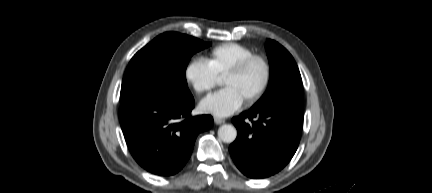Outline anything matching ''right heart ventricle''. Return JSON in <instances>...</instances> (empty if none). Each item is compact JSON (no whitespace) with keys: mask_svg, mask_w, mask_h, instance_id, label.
<instances>
[{"mask_svg":"<svg viewBox=\"0 0 432 193\" xmlns=\"http://www.w3.org/2000/svg\"><path fill=\"white\" fill-rule=\"evenodd\" d=\"M231 49H229L231 56H240V55H247L250 53L249 49H243L241 47H237V46H233L230 47ZM224 49L223 48H219L216 49V51H214L213 53V57L211 59V65L214 67V69L220 73L223 74L225 73V65L222 62V58L224 56Z\"/></svg>","mask_w":432,"mask_h":193,"instance_id":"right-heart-ventricle-1","label":"right heart ventricle"}]
</instances>
